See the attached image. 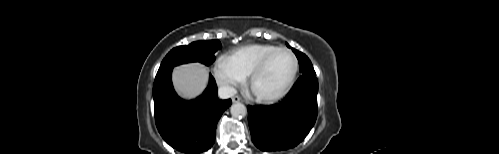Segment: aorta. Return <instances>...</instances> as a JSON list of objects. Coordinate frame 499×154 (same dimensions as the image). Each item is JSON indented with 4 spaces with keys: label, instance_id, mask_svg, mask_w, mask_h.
I'll use <instances>...</instances> for the list:
<instances>
[{
    "label": "aorta",
    "instance_id": "aorta-1",
    "mask_svg": "<svg viewBox=\"0 0 499 154\" xmlns=\"http://www.w3.org/2000/svg\"><path fill=\"white\" fill-rule=\"evenodd\" d=\"M230 112L235 118L244 117L247 114V108L242 103H235L230 107Z\"/></svg>",
    "mask_w": 499,
    "mask_h": 154
}]
</instances>
